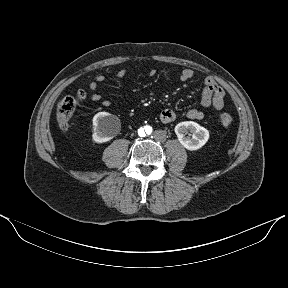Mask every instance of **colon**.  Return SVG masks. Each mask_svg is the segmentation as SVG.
Here are the masks:
<instances>
[{
  "instance_id": "5ec220e1",
  "label": "colon",
  "mask_w": 288,
  "mask_h": 288,
  "mask_svg": "<svg viewBox=\"0 0 288 288\" xmlns=\"http://www.w3.org/2000/svg\"><path fill=\"white\" fill-rule=\"evenodd\" d=\"M86 98V92L84 90H79L74 96L67 95L62 97L58 104L56 110V117L58 125L62 131H67L70 127L71 117L79 102ZM219 123L228 127L231 125L233 118L228 113H221L218 117Z\"/></svg>"
}]
</instances>
